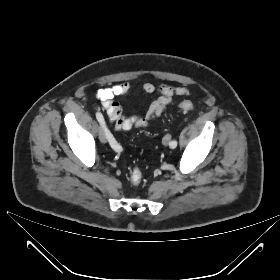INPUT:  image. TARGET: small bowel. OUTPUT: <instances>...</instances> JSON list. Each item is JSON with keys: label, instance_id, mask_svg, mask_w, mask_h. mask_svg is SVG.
<instances>
[{"label": "small bowel", "instance_id": "1", "mask_svg": "<svg viewBox=\"0 0 280 280\" xmlns=\"http://www.w3.org/2000/svg\"><path fill=\"white\" fill-rule=\"evenodd\" d=\"M142 90L145 93H156L157 98L150 103L144 115H125L117 97H127L131 92L130 84L122 82L109 88L100 89L97 98L101 101L116 131H130L133 128H144L162 115L166 107L172 102L175 95H186L188 90L184 87H174L168 84L154 85L144 82Z\"/></svg>", "mask_w": 280, "mask_h": 280}]
</instances>
